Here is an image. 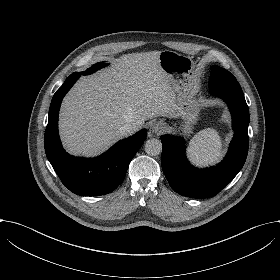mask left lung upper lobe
<instances>
[{"mask_svg":"<svg viewBox=\"0 0 280 280\" xmlns=\"http://www.w3.org/2000/svg\"><path fill=\"white\" fill-rule=\"evenodd\" d=\"M211 69V76L208 83L209 88L237 81L236 78L224 68L214 65Z\"/></svg>","mask_w":280,"mask_h":280,"instance_id":"1","label":"left lung upper lobe"}]
</instances>
